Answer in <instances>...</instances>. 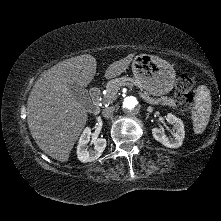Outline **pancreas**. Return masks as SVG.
I'll use <instances>...</instances> for the list:
<instances>
[{"instance_id":"cf45deb5","label":"pancreas","mask_w":221,"mask_h":221,"mask_svg":"<svg viewBox=\"0 0 221 221\" xmlns=\"http://www.w3.org/2000/svg\"><path fill=\"white\" fill-rule=\"evenodd\" d=\"M124 85H128L129 87L137 86L140 89V92H143L144 95L148 96V93L146 91H144L137 84V82L134 79L129 78V77H120V78L113 79L106 84V92L107 93L105 95V101L107 103L113 102L117 97L116 94H117L120 86H124ZM147 98H149V97H147ZM152 100L156 101L157 103L166 105V106H170L173 108L176 107V103H175L174 99H172L170 97H161V98L152 99Z\"/></svg>"}]
</instances>
